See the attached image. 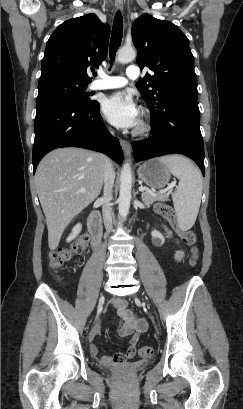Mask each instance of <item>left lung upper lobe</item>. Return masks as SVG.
<instances>
[{"instance_id": "1", "label": "left lung upper lobe", "mask_w": 243, "mask_h": 409, "mask_svg": "<svg viewBox=\"0 0 243 409\" xmlns=\"http://www.w3.org/2000/svg\"><path fill=\"white\" fill-rule=\"evenodd\" d=\"M132 39L139 67L153 71L136 83L150 111L179 92L197 91L189 40L176 25L143 14L133 23Z\"/></svg>"}]
</instances>
